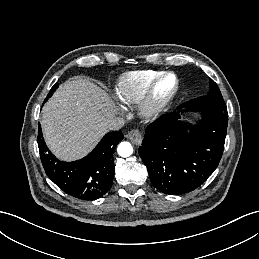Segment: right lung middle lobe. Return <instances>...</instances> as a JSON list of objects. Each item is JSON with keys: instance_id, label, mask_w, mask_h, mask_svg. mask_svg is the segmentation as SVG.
I'll return each mask as SVG.
<instances>
[{"instance_id": "1", "label": "right lung middle lobe", "mask_w": 259, "mask_h": 259, "mask_svg": "<svg viewBox=\"0 0 259 259\" xmlns=\"http://www.w3.org/2000/svg\"><path fill=\"white\" fill-rule=\"evenodd\" d=\"M59 84L56 83L50 90L49 94L47 95V98L45 99V101L52 96V93L58 88Z\"/></svg>"}]
</instances>
